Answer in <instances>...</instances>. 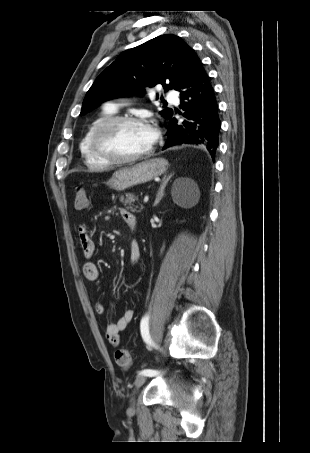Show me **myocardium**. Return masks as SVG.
I'll return each instance as SVG.
<instances>
[{"mask_svg":"<svg viewBox=\"0 0 310 453\" xmlns=\"http://www.w3.org/2000/svg\"><path fill=\"white\" fill-rule=\"evenodd\" d=\"M123 124H142L143 121L140 117L123 115L113 116L104 122H102L94 131L91 137V147L94 154L109 164H129L136 162L140 159L148 157L153 152V145H151L146 151L138 153L130 157H118L109 153L104 147L105 138L118 126Z\"/></svg>","mask_w":310,"mask_h":453,"instance_id":"f54148a6","label":"myocardium"}]
</instances>
